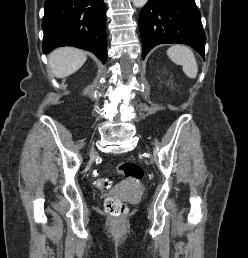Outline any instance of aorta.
Listing matches in <instances>:
<instances>
[{
    "mask_svg": "<svg viewBox=\"0 0 248 258\" xmlns=\"http://www.w3.org/2000/svg\"><path fill=\"white\" fill-rule=\"evenodd\" d=\"M148 0H132L135 7H143Z\"/></svg>",
    "mask_w": 248,
    "mask_h": 258,
    "instance_id": "1",
    "label": "aorta"
}]
</instances>
